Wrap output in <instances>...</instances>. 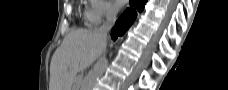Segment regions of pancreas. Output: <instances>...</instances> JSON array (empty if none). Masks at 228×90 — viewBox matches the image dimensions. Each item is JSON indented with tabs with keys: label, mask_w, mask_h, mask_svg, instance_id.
Wrapping results in <instances>:
<instances>
[{
	"label": "pancreas",
	"mask_w": 228,
	"mask_h": 90,
	"mask_svg": "<svg viewBox=\"0 0 228 90\" xmlns=\"http://www.w3.org/2000/svg\"><path fill=\"white\" fill-rule=\"evenodd\" d=\"M81 84H82V78L77 77L75 82H74L75 88H79L81 86Z\"/></svg>",
	"instance_id": "obj_1"
}]
</instances>
